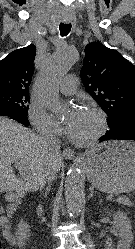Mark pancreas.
<instances>
[{
  "label": "pancreas",
  "instance_id": "obj_1",
  "mask_svg": "<svg viewBox=\"0 0 135 249\" xmlns=\"http://www.w3.org/2000/svg\"><path fill=\"white\" fill-rule=\"evenodd\" d=\"M119 204H123L126 206H132V202L127 197H118L116 200Z\"/></svg>",
  "mask_w": 135,
  "mask_h": 249
}]
</instances>
